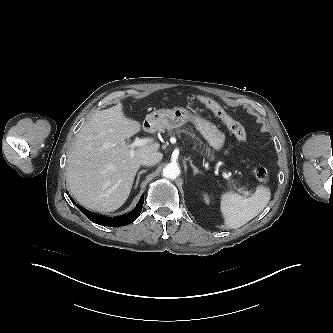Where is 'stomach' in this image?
Segmentation results:
<instances>
[{
  "label": "stomach",
  "mask_w": 333,
  "mask_h": 333,
  "mask_svg": "<svg viewBox=\"0 0 333 333\" xmlns=\"http://www.w3.org/2000/svg\"><path fill=\"white\" fill-rule=\"evenodd\" d=\"M145 121L154 130L177 129L190 121L213 149L219 151L225 144V134L216 125L184 107L153 111Z\"/></svg>",
  "instance_id": "1"
}]
</instances>
